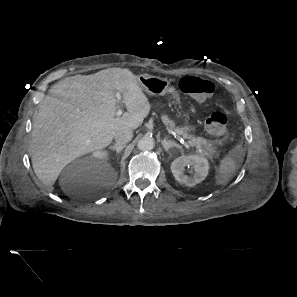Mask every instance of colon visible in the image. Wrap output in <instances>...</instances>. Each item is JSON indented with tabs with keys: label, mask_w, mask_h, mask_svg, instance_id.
Here are the masks:
<instances>
[{
	"label": "colon",
	"mask_w": 297,
	"mask_h": 297,
	"mask_svg": "<svg viewBox=\"0 0 297 297\" xmlns=\"http://www.w3.org/2000/svg\"><path fill=\"white\" fill-rule=\"evenodd\" d=\"M179 88L200 100L210 98L214 93L212 82L194 76H187L180 80ZM228 117L219 111L212 112L206 120V128L215 137H224L227 133Z\"/></svg>",
	"instance_id": "1"
}]
</instances>
